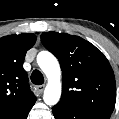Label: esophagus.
Instances as JSON below:
<instances>
[{
	"instance_id": "obj_1",
	"label": "esophagus",
	"mask_w": 119,
	"mask_h": 119,
	"mask_svg": "<svg viewBox=\"0 0 119 119\" xmlns=\"http://www.w3.org/2000/svg\"><path fill=\"white\" fill-rule=\"evenodd\" d=\"M44 88H45L44 85L36 86V91H37L39 94H42L43 91H44Z\"/></svg>"
}]
</instances>
